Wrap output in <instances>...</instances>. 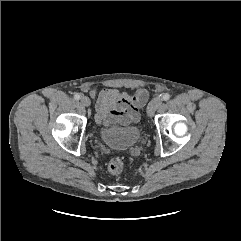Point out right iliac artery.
<instances>
[{
	"instance_id": "1",
	"label": "right iliac artery",
	"mask_w": 241,
	"mask_h": 241,
	"mask_svg": "<svg viewBox=\"0 0 241 241\" xmlns=\"http://www.w3.org/2000/svg\"><path fill=\"white\" fill-rule=\"evenodd\" d=\"M74 99H75V100H79V99H80V94L76 93V94L74 95Z\"/></svg>"
}]
</instances>
